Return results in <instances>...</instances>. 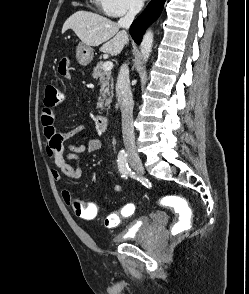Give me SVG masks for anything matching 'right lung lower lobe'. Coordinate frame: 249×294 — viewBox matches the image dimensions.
<instances>
[{"instance_id": "obj_1", "label": "right lung lower lobe", "mask_w": 249, "mask_h": 294, "mask_svg": "<svg viewBox=\"0 0 249 294\" xmlns=\"http://www.w3.org/2000/svg\"><path fill=\"white\" fill-rule=\"evenodd\" d=\"M165 1L166 0H152L144 12L132 23L130 34L137 44H140L146 27L161 14Z\"/></svg>"}]
</instances>
